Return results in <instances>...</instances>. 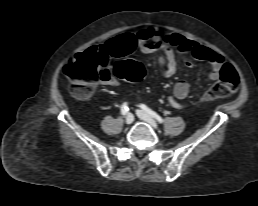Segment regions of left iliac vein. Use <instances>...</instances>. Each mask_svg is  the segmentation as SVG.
Instances as JSON below:
<instances>
[{
    "instance_id": "left-iliac-vein-1",
    "label": "left iliac vein",
    "mask_w": 258,
    "mask_h": 206,
    "mask_svg": "<svg viewBox=\"0 0 258 206\" xmlns=\"http://www.w3.org/2000/svg\"><path fill=\"white\" fill-rule=\"evenodd\" d=\"M136 114H137V116H138L141 120L147 122V123H148L151 127H153L154 129H157V128H158V125H157L156 121H155L150 115H148L147 113H145L144 111H142V110H137V111H136Z\"/></svg>"
}]
</instances>
